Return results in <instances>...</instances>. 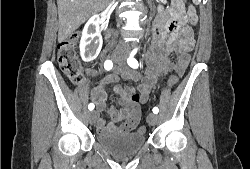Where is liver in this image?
<instances>
[{
	"mask_svg": "<svg viewBox=\"0 0 250 169\" xmlns=\"http://www.w3.org/2000/svg\"><path fill=\"white\" fill-rule=\"evenodd\" d=\"M110 0H57L59 40H65L88 16L108 6Z\"/></svg>",
	"mask_w": 250,
	"mask_h": 169,
	"instance_id": "6515ba94",
	"label": "liver"
}]
</instances>
